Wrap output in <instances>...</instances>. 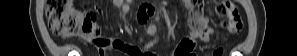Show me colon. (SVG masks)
Masks as SVG:
<instances>
[{"instance_id": "obj_1", "label": "colon", "mask_w": 297, "mask_h": 56, "mask_svg": "<svg viewBox=\"0 0 297 56\" xmlns=\"http://www.w3.org/2000/svg\"><path fill=\"white\" fill-rule=\"evenodd\" d=\"M201 3L200 1H196ZM215 13L222 18L221 25L232 33L242 28V20L237 8L229 1H216ZM99 10L84 6L77 9L71 0H48L46 16L52 33L62 38L71 36H86V33L100 35L97 24ZM222 49L214 51L213 56H221Z\"/></svg>"}]
</instances>
